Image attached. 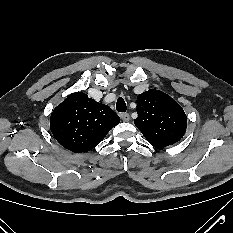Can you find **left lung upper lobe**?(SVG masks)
Segmentation results:
<instances>
[{
    "mask_svg": "<svg viewBox=\"0 0 233 233\" xmlns=\"http://www.w3.org/2000/svg\"><path fill=\"white\" fill-rule=\"evenodd\" d=\"M134 124L155 148L162 150L185 134L187 117L181 106L162 91L150 89L137 98Z\"/></svg>",
    "mask_w": 233,
    "mask_h": 233,
    "instance_id": "5c2ea615",
    "label": "left lung upper lobe"
}]
</instances>
